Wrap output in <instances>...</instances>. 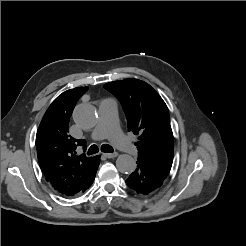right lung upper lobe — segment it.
Returning a JSON list of instances; mask_svg holds the SVG:
<instances>
[{
	"mask_svg": "<svg viewBox=\"0 0 246 246\" xmlns=\"http://www.w3.org/2000/svg\"><path fill=\"white\" fill-rule=\"evenodd\" d=\"M87 90L77 87L60 94L47 109L36 135L40 168L55 190L67 197L79 194L96 166V156L76 155L77 146L85 147V141L68 133L72 111Z\"/></svg>",
	"mask_w": 246,
	"mask_h": 246,
	"instance_id": "right-lung-upper-lobe-1",
	"label": "right lung upper lobe"
}]
</instances>
